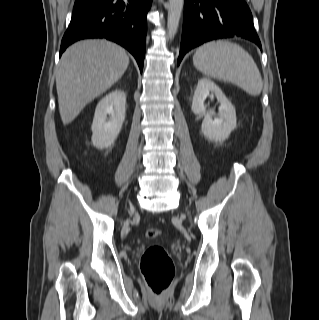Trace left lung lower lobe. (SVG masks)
Wrapping results in <instances>:
<instances>
[{
    "instance_id": "left-lung-lower-lobe-1",
    "label": "left lung lower lobe",
    "mask_w": 319,
    "mask_h": 320,
    "mask_svg": "<svg viewBox=\"0 0 319 320\" xmlns=\"http://www.w3.org/2000/svg\"><path fill=\"white\" fill-rule=\"evenodd\" d=\"M234 36L250 40L262 49L244 0H185L178 64L192 48L213 39Z\"/></svg>"
}]
</instances>
